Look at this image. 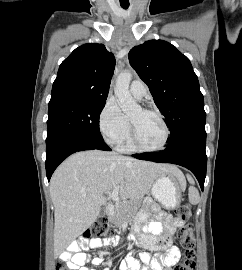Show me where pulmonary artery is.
<instances>
[{
    "label": "pulmonary artery",
    "instance_id": "obj_1",
    "mask_svg": "<svg viewBox=\"0 0 242 270\" xmlns=\"http://www.w3.org/2000/svg\"><path fill=\"white\" fill-rule=\"evenodd\" d=\"M147 89L146 85L140 80H134L130 85V93L131 95L141 100L146 95Z\"/></svg>",
    "mask_w": 242,
    "mask_h": 270
}]
</instances>
